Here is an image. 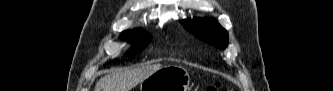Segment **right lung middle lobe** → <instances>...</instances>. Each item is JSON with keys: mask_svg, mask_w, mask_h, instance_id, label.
Returning <instances> with one entry per match:
<instances>
[{"mask_svg": "<svg viewBox=\"0 0 333 91\" xmlns=\"http://www.w3.org/2000/svg\"><path fill=\"white\" fill-rule=\"evenodd\" d=\"M121 38L129 41H134L135 46L131 48L128 54H138L141 52L150 42V36L141 31H124Z\"/></svg>", "mask_w": 333, "mask_h": 91, "instance_id": "1", "label": "right lung middle lobe"}]
</instances>
